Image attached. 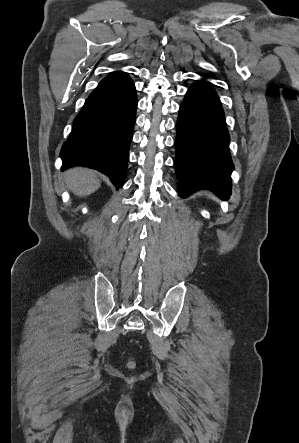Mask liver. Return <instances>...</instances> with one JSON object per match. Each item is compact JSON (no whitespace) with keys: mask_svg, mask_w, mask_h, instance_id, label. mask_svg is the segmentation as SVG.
I'll return each instance as SVG.
<instances>
[{"mask_svg":"<svg viewBox=\"0 0 299 443\" xmlns=\"http://www.w3.org/2000/svg\"><path fill=\"white\" fill-rule=\"evenodd\" d=\"M64 180L68 189L79 197L92 194L101 185L96 171L82 167H73L65 171Z\"/></svg>","mask_w":299,"mask_h":443,"instance_id":"obj_1","label":"liver"}]
</instances>
